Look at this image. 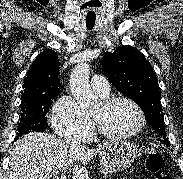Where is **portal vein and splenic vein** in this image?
<instances>
[{"instance_id": "obj_1", "label": "portal vein and splenic vein", "mask_w": 183, "mask_h": 179, "mask_svg": "<svg viewBox=\"0 0 183 179\" xmlns=\"http://www.w3.org/2000/svg\"><path fill=\"white\" fill-rule=\"evenodd\" d=\"M62 177H64V179H65V173L64 172H62Z\"/></svg>"}]
</instances>
